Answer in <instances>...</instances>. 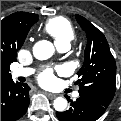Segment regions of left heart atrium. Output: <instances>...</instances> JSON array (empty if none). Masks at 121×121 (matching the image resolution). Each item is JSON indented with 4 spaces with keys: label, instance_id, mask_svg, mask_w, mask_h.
Instances as JSON below:
<instances>
[{
    "label": "left heart atrium",
    "instance_id": "obj_1",
    "mask_svg": "<svg viewBox=\"0 0 121 121\" xmlns=\"http://www.w3.org/2000/svg\"><path fill=\"white\" fill-rule=\"evenodd\" d=\"M55 81L54 73L52 69H47L39 76V82L42 85L49 86L52 85Z\"/></svg>",
    "mask_w": 121,
    "mask_h": 121
}]
</instances>
